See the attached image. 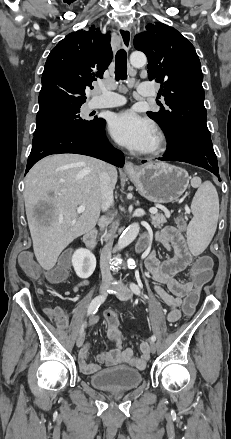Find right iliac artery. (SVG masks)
<instances>
[{
	"label": "right iliac artery",
	"mask_w": 231,
	"mask_h": 439,
	"mask_svg": "<svg viewBox=\"0 0 231 439\" xmlns=\"http://www.w3.org/2000/svg\"><path fill=\"white\" fill-rule=\"evenodd\" d=\"M105 299H106V297H104V296H97V297H95L91 301V303H90V305L88 307L87 315L89 316L91 314H95L97 309H98V307L105 301ZM83 329H84V324L81 327L80 334L83 332Z\"/></svg>",
	"instance_id": "obj_1"
}]
</instances>
